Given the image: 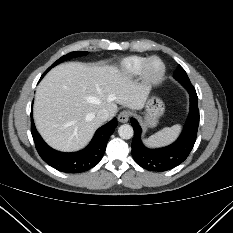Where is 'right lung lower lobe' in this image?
Here are the masks:
<instances>
[{
  "mask_svg": "<svg viewBox=\"0 0 233 233\" xmlns=\"http://www.w3.org/2000/svg\"><path fill=\"white\" fill-rule=\"evenodd\" d=\"M116 127L117 119L114 118L96 131L92 141L85 149L74 153H63L52 149L43 141L31 116V133L39 155L51 167L66 173L87 171L97 165L102 159L108 139Z\"/></svg>",
  "mask_w": 233,
  "mask_h": 233,
  "instance_id": "right-lung-lower-lobe-1",
  "label": "right lung lower lobe"
}]
</instances>
